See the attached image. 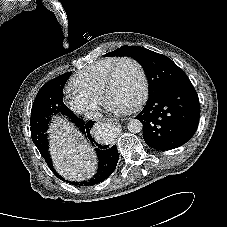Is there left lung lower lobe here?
<instances>
[{"label":"left lung lower lobe","instance_id":"obj_1","mask_svg":"<svg viewBox=\"0 0 227 227\" xmlns=\"http://www.w3.org/2000/svg\"><path fill=\"white\" fill-rule=\"evenodd\" d=\"M198 95L189 80L171 85L151 96L136 116L143 124L144 141L152 148H177L194 135L199 123Z\"/></svg>","mask_w":227,"mask_h":227}]
</instances>
